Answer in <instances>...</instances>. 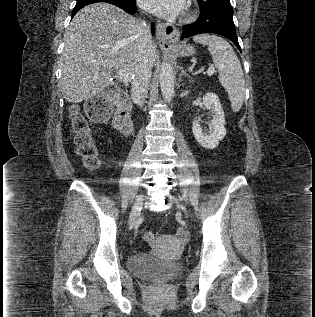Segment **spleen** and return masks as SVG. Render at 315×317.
<instances>
[{
	"mask_svg": "<svg viewBox=\"0 0 315 317\" xmlns=\"http://www.w3.org/2000/svg\"><path fill=\"white\" fill-rule=\"evenodd\" d=\"M195 42L208 46L213 63L219 71L218 79L228 93L232 110L239 112L245 97V80L240 61L231 45L217 35L200 34Z\"/></svg>",
	"mask_w": 315,
	"mask_h": 317,
	"instance_id": "obj_1",
	"label": "spleen"
}]
</instances>
